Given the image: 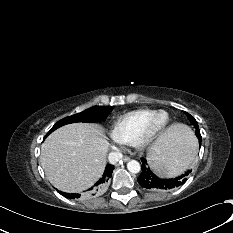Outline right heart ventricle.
I'll return each mask as SVG.
<instances>
[{
	"label": "right heart ventricle",
	"mask_w": 233,
	"mask_h": 233,
	"mask_svg": "<svg viewBox=\"0 0 233 233\" xmlns=\"http://www.w3.org/2000/svg\"><path fill=\"white\" fill-rule=\"evenodd\" d=\"M154 112L153 109L141 108L122 115L114 122L111 137L119 144H133L143 124Z\"/></svg>",
	"instance_id": "right-heart-ventricle-1"
}]
</instances>
